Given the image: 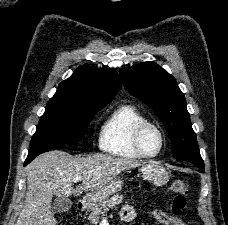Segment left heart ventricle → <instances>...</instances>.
Segmentation results:
<instances>
[{"label": "left heart ventricle", "mask_w": 228, "mask_h": 225, "mask_svg": "<svg viewBox=\"0 0 228 225\" xmlns=\"http://www.w3.org/2000/svg\"><path fill=\"white\" fill-rule=\"evenodd\" d=\"M160 135L154 129L147 131L144 137V147L150 154L156 153L160 148Z\"/></svg>", "instance_id": "obj_1"}]
</instances>
